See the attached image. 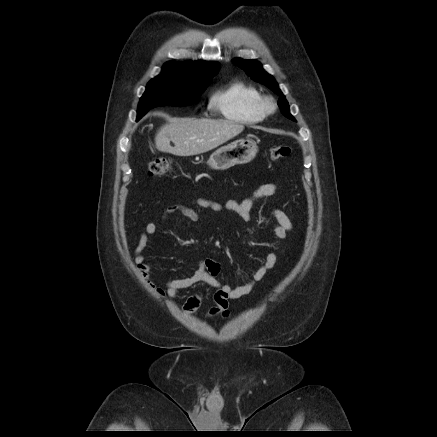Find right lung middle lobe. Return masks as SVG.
I'll return each mask as SVG.
<instances>
[{
    "label": "right lung middle lobe",
    "instance_id": "obj_1",
    "mask_svg": "<svg viewBox=\"0 0 437 437\" xmlns=\"http://www.w3.org/2000/svg\"><path fill=\"white\" fill-rule=\"evenodd\" d=\"M210 81L185 82L175 78L157 76L147 84L146 91L139 101L137 120L157 106L193 104Z\"/></svg>",
    "mask_w": 437,
    "mask_h": 437
}]
</instances>
